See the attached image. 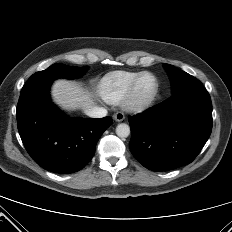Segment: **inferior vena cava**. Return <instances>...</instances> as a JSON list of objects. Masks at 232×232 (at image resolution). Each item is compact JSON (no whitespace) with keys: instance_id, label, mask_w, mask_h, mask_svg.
Segmentation results:
<instances>
[{"instance_id":"1","label":"inferior vena cava","mask_w":232,"mask_h":232,"mask_svg":"<svg viewBox=\"0 0 232 232\" xmlns=\"http://www.w3.org/2000/svg\"><path fill=\"white\" fill-rule=\"evenodd\" d=\"M85 113L91 118H102L107 115V110L103 107L94 106L85 110Z\"/></svg>"}]
</instances>
